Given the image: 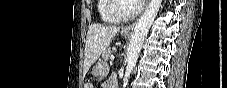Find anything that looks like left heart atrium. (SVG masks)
<instances>
[{
    "mask_svg": "<svg viewBox=\"0 0 227 88\" xmlns=\"http://www.w3.org/2000/svg\"><path fill=\"white\" fill-rule=\"evenodd\" d=\"M133 2L137 6H141L142 4H144V1L143 0H134Z\"/></svg>",
    "mask_w": 227,
    "mask_h": 88,
    "instance_id": "obj_1",
    "label": "left heart atrium"
}]
</instances>
